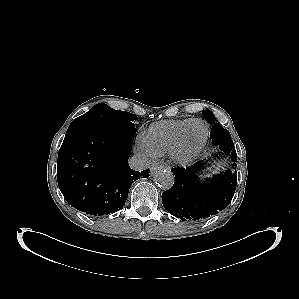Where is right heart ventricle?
I'll return each instance as SVG.
<instances>
[{
    "label": "right heart ventricle",
    "instance_id": "e07e8e85",
    "mask_svg": "<svg viewBox=\"0 0 299 299\" xmlns=\"http://www.w3.org/2000/svg\"><path fill=\"white\" fill-rule=\"evenodd\" d=\"M189 120L154 123L143 133L142 138L155 155H162L168 152L179 131Z\"/></svg>",
    "mask_w": 299,
    "mask_h": 299
}]
</instances>
